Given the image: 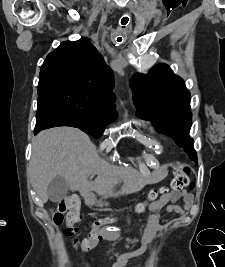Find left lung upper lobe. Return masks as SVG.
I'll return each mask as SVG.
<instances>
[{
	"label": "left lung upper lobe",
	"mask_w": 225,
	"mask_h": 267,
	"mask_svg": "<svg viewBox=\"0 0 225 267\" xmlns=\"http://www.w3.org/2000/svg\"><path fill=\"white\" fill-rule=\"evenodd\" d=\"M130 87L137 115L151 120L160 133L174 138L197 163L194 142L189 137L192 119L190 93L185 82L168 65L158 64L148 74L136 73Z\"/></svg>",
	"instance_id": "obj_1"
}]
</instances>
